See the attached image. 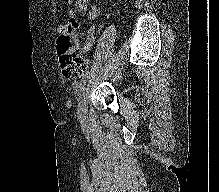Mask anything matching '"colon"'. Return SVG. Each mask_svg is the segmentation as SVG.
Instances as JSON below:
<instances>
[{
    "label": "colon",
    "instance_id": "obj_1",
    "mask_svg": "<svg viewBox=\"0 0 219 192\" xmlns=\"http://www.w3.org/2000/svg\"><path fill=\"white\" fill-rule=\"evenodd\" d=\"M57 52L63 76L69 80L80 78L85 69V61L79 50L78 25L75 21L69 20L60 27Z\"/></svg>",
    "mask_w": 219,
    "mask_h": 192
}]
</instances>
